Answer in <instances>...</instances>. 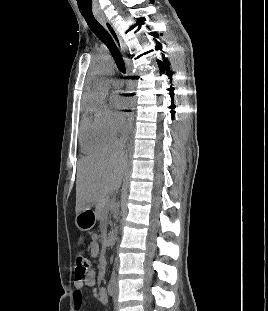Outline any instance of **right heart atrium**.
Wrapping results in <instances>:
<instances>
[{"mask_svg":"<svg viewBox=\"0 0 268 311\" xmlns=\"http://www.w3.org/2000/svg\"><path fill=\"white\" fill-rule=\"evenodd\" d=\"M96 113L113 134L117 135L125 129L126 125L120 114L107 105H100Z\"/></svg>","mask_w":268,"mask_h":311,"instance_id":"obj_1","label":"right heart atrium"}]
</instances>
